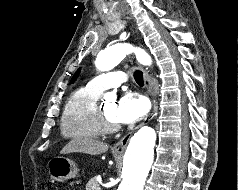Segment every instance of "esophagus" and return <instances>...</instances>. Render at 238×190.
<instances>
[{"instance_id": "34e87169", "label": "esophagus", "mask_w": 238, "mask_h": 190, "mask_svg": "<svg viewBox=\"0 0 238 190\" xmlns=\"http://www.w3.org/2000/svg\"><path fill=\"white\" fill-rule=\"evenodd\" d=\"M142 71H143V76H144V84L147 88V91L149 93V95L151 96V100H152V110L151 112L145 117V119L143 120V122H141L135 129H133L132 131H130L129 133H127L121 140H119L114 146H113V150L115 152L118 153H122L124 152V150L126 149V146L128 145L132 135L134 134V132L139 129L140 127H142L143 125H145L146 123L150 122L153 117L156 115V110H157V98H156V94L153 90V87L151 85V81L148 75V72L145 68L142 67Z\"/></svg>"}]
</instances>
